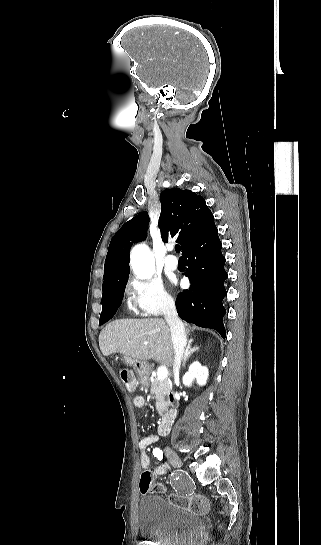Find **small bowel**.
<instances>
[{"mask_svg":"<svg viewBox=\"0 0 321 545\" xmlns=\"http://www.w3.org/2000/svg\"><path fill=\"white\" fill-rule=\"evenodd\" d=\"M133 403H134V405L136 407L141 408V407H143L145 405V400H144V398L142 396L137 395V396H135L133 398ZM157 441H158L157 436L148 435V436L144 437L143 439H141L139 444H138L139 460H140L141 467L144 470H149L150 471V458H149V456L147 454V451H148L149 446L156 443ZM167 472H168V467L165 466V465H160L153 471V475H163V474H165Z\"/></svg>","mask_w":321,"mask_h":545,"instance_id":"small-bowel-1","label":"small bowel"}]
</instances>
